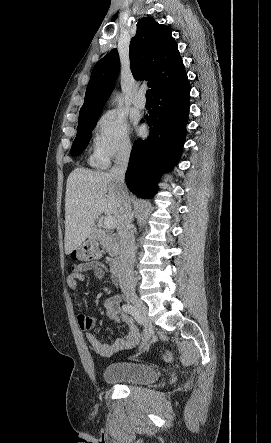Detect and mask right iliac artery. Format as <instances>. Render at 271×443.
<instances>
[{"label":"right iliac artery","instance_id":"1","mask_svg":"<svg viewBox=\"0 0 271 443\" xmlns=\"http://www.w3.org/2000/svg\"><path fill=\"white\" fill-rule=\"evenodd\" d=\"M122 308L125 312L132 315L139 325H142L143 319L135 306L130 304H124Z\"/></svg>","mask_w":271,"mask_h":443}]
</instances>
